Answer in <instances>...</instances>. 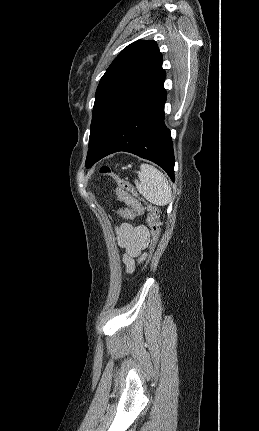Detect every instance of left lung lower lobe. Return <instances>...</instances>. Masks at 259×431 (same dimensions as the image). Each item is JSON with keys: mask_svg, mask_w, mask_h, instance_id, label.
Here are the masks:
<instances>
[{"mask_svg": "<svg viewBox=\"0 0 259 431\" xmlns=\"http://www.w3.org/2000/svg\"><path fill=\"white\" fill-rule=\"evenodd\" d=\"M164 80L116 124L93 158L90 168L103 157L125 151L153 161L174 181V154L170 130L164 123Z\"/></svg>", "mask_w": 259, "mask_h": 431, "instance_id": "obj_1", "label": "left lung lower lobe"}]
</instances>
